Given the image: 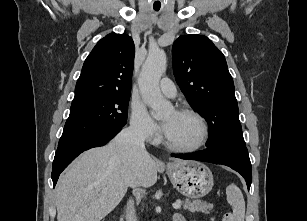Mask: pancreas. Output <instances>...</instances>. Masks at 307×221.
Segmentation results:
<instances>
[{"label":"pancreas","mask_w":307,"mask_h":221,"mask_svg":"<svg viewBox=\"0 0 307 221\" xmlns=\"http://www.w3.org/2000/svg\"><path fill=\"white\" fill-rule=\"evenodd\" d=\"M183 204V208L194 213V212H202V213H210V211L213 209L212 204H208L201 200H189L186 199L184 201H181Z\"/></svg>","instance_id":"cf45deb5"}]
</instances>
